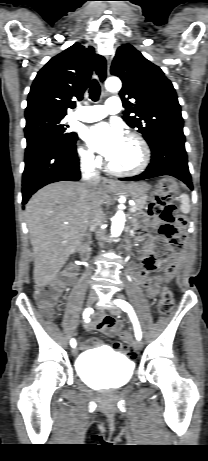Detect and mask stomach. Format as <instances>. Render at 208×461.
I'll return each mask as SVG.
<instances>
[{"label":"stomach","instance_id":"0dacf381","mask_svg":"<svg viewBox=\"0 0 208 461\" xmlns=\"http://www.w3.org/2000/svg\"><path fill=\"white\" fill-rule=\"evenodd\" d=\"M150 187L145 182H131L128 184H119L113 191L130 195L133 199L147 197Z\"/></svg>","mask_w":208,"mask_h":461}]
</instances>
